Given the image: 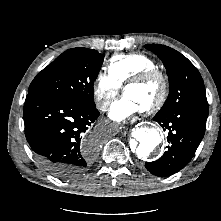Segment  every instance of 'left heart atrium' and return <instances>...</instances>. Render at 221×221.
Wrapping results in <instances>:
<instances>
[{"mask_svg":"<svg viewBox=\"0 0 221 221\" xmlns=\"http://www.w3.org/2000/svg\"><path fill=\"white\" fill-rule=\"evenodd\" d=\"M141 108L129 96L123 95L114 101L109 109V117L112 120L121 122L137 114Z\"/></svg>","mask_w":221,"mask_h":221,"instance_id":"39dd6f15","label":"left heart atrium"}]
</instances>
